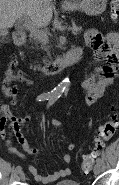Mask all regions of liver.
<instances>
[{"label": "liver", "mask_w": 119, "mask_h": 185, "mask_svg": "<svg viewBox=\"0 0 119 185\" xmlns=\"http://www.w3.org/2000/svg\"><path fill=\"white\" fill-rule=\"evenodd\" d=\"M52 15L51 0H0V29L13 27L22 16H29L37 28L45 27Z\"/></svg>", "instance_id": "obj_1"}]
</instances>
